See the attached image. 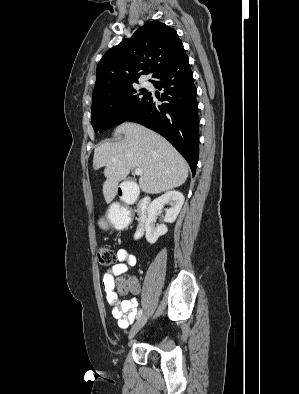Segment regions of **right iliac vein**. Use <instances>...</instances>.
I'll return each instance as SVG.
<instances>
[{
    "label": "right iliac vein",
    "mask_w": 299,
    "mask_h": 394,
    "mask_svg": "<svg viewBox=\"0 0 299 394\" xmlns=\"http://www.w3.org/2000/svg\"><path fill=\"white\" fill-rule=\"evenodd\" d=\"M146 321H147V316L146 315H142L136 321V323L133 325V327L131 328V331L129 333V339L130 340L141 330V328L145 325Z\"/></svg>",
    "instance_id": "63e3f726"
}]
</instances>
